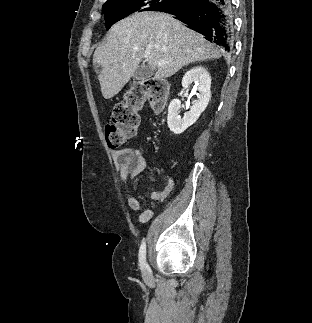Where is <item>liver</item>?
Returning <instances> with one entry per match:
<instances>
[{
	"label": "liver",
	"instance_id": "liver-1",
	"mask_svg": "<svg viewBox=\"0 0 312 323\" xmlns=\"http://www.w3.org/2000/svg\"><path fill=\"white\" fill-rule=\"evenodd\" d=\"M145 54L149 56L144 58ZM211 58H221L219 50L171 14L136 12L112 26L107 42L96 48L93 64L101 68L102 96L110 100L129 82L140 62H147L150 70H156L157 62H169L155 72V78L163 80L187 64Z\"/></svg>",
	"mask_w": 312,
	"mask_h": 323
}]
</instances>
